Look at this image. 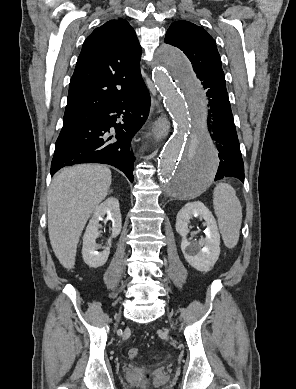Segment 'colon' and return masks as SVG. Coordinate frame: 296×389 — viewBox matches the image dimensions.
I'll return each mask as SVG.
<instances>
[{"instance_id": "obj_1", "label": "colon", "mask_w": 296, "mask_h": 389, "mask_svg": "<svg viewBox=\"0 0 296 389\" xmlns=\"http://www.w3.org/2000/svg\"><path fill=\"white\" fill-rule=\"evenodd\" d=\"M139 354V351L137 348H131L128 352V355L130 358H136ZM146 378L148 379L149 378V375L147 374L146 375Z\"/></svg>"}]
</instances>
